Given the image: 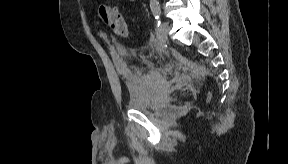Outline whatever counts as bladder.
I'll return each mask as SVG.
<instances>
[{
	"mask_svg": "<svg viewBox=\"0 0 288 164\" xmlns=\"http://www.w3.org/2000/svg\"><path fill=\"white\" fill-rule=\"evenodd\" d=\"M114 50L118 57L123 60L130 58L128 50L119 43H114ZM159 105V95L155 90L147 89L134 95L130 100V108L141 113H152Z\"/></svg>",
	"mask_w": 288,
	"mask_h": 164,
	"instance_id": "1",
	"label": "bladder"
}]
</instances>
